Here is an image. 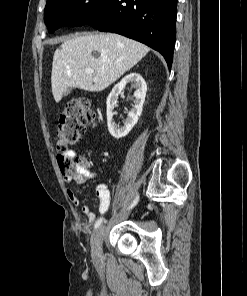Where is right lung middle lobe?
Masks as SVG:
<instances>
[{
	"mask_svg": "<svg viewBox=\"0 0 247 296\" xmlns=\"http://www.w3.org/2000/svg\"><path fill=\"white\" fill-rule=\"evenodd\" d=\"M107 0H47L44 19L49 33L63 26H82L100 14Z\"/></svg>",
	"mask_w": 247,
	"mask_h": 296,
	"instance_id": "dd1d6c3e",
	"label": "right lung middle lobe"
}]
</instances>
